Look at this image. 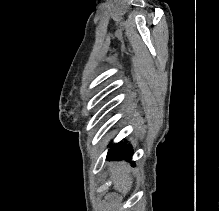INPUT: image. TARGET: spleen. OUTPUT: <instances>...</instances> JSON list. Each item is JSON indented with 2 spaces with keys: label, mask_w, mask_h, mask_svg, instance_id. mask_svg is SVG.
Segmentation results:
<instances>
[{
  "label": "spleen",
  "mask_w": 219,
  "mask_h": 211,
  "mask_svg": "<svg viewBox=\"0 0 219 211\" xmlns=\"http://www.w3.org/2000/svg\"><path fill=\"white\" fill-rule=\"evenodd\" d=\"M127 167L126 165H122V167H114L112 171L113 187L126 195L128 191H130L132 187V177H130L129 173H126Z\"/></svg>",
  "instance_id": "obj_1"
}]
</instances>
